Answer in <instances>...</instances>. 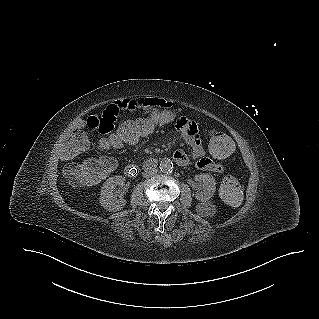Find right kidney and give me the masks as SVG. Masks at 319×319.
<instances>
[{
  "label": "right kidney",
  "mask_w": 319,
  "mask_h": 319,
  "mask_svg": "<svg viewBox=\"0 0 319 319\" xmlns=\"http://www.w3.org/2000/svg\"><path fill=\"white\" fill-rule=\"evenodd\" d=\"M125 178L116 175L105 181L101 189L100 205L108 211H120L126 205V200L119 194H115L116 186H123Z\"/></svg>",
  "instance_id": "1"
}]
</instances>
